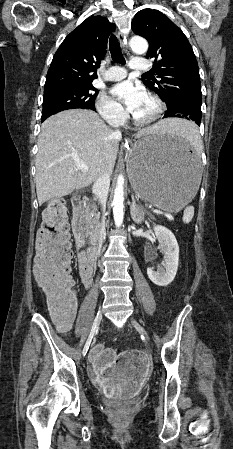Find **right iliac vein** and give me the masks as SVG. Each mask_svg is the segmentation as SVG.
Here are the masks:
<instances>
[{"label":"right iliac vein","mask_w":233,"mask_h":449,"mask_svg":"<svg viewBox=\"0 0 233 449\" xmlns=\"http://www.w3.org/2000/svg\"><path fill=\"white\" fill-rule=\"evenodd\" d=\"M101 319H102V311H99V312L97 313L96 317H95L94 322H93V326H92L90 335H91V334H94V333L97 331L98 326H99V324H100V322H101ZM90 335H89V337H88L86 343H87L88 341L91 340ZM86 343H85V345H86Z\"/></svg>","instance_id":"63e3f726"}]
</instances>
